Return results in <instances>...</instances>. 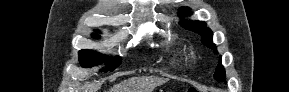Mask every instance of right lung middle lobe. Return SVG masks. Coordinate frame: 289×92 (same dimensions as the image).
Returning <instances> with one entry per match:
<instances>
[{
	"label": "right lung middle lobe",
	"mask_w": 289,
	"mask_h": 92,
	"mask_svg": "<svg viewBox=\"0 0 289 92\" xmlns=\"http://www.w3.org/2000/svg\"><path fill=\"white\" fill-rule=\"evenodd\" d=\"M104 58H105L104 56L99 55L98 53L92 50L84 49L79 52V62L82 65V67H85V68H89V67L99 64ZM120 64H121V58L116 57L107 64V69L109 71H113ZM102 71L106 72L107 70L103 69Z\"/></svg>",
	"instance_id": "obj_1"
}]
</instances>
